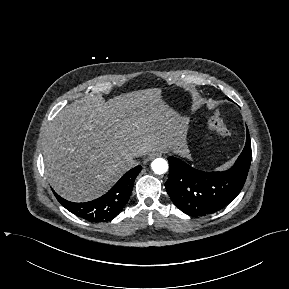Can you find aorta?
Listing matches in <instances>:
<instances>
[{
    "mask_svg": "<svg viewBox=\"0 0 289 289\" xmlns=\"http://www.w3.org/2000/svg\"><path fill=\"white\" fill-rule=\"evenodd\" d=\"M151 168L156 174H164L168 170V163L163 158H156L151 163Z\"/></svg>",
    "mask_w": 289,
    "mask_h": 289,
    "instance_id": "1",
    "label": "aorta"
}]
</instances>
